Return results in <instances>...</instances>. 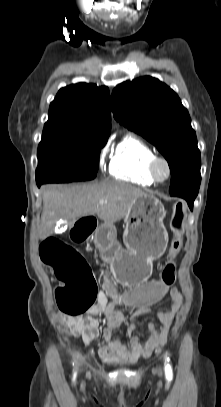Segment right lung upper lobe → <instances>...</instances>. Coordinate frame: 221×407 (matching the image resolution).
I'll return each instance as SVG.
<instances>
[{
  "label": "right lung upper lobe",
  "mask_w": 221,
  "mask_h": 407,
  "mask_svg": "<svg viewBox=\"0 0 221 407\" xmlns=\"http://www.w3.org/2000/svg\"><path fill=\"white\" fill-rule=\"evenodd\" d=\"M110 128L108 88L78 83L59 90L50 104L43 135H68L106 142Z\"/></svg>",
  "instance_id": "1"
}]
</instances>
